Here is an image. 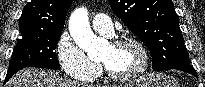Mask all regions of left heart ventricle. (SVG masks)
<instances>
[{"label":"left heart ventricle","mask_w":205,"mask_h":87,"mask_svg":"<svg viewBox=\"0 0 205 87\" xmlns=\"http://www.w3.org/2000/svg\"><path fill=\"white\" fill-rule=\"evenodd\" d=\"M99 61L104 63L113 73L127 75L139 68L142 57L140 51L134 45L114 47L109 44Z\"/></svg>","instance_id":"obj_1"}]
</instances>
